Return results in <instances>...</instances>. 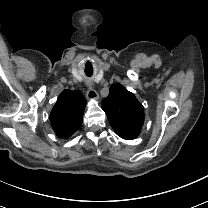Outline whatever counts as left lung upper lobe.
<instances>
[{"instance_id": "1", "label": "left lung upper lobe", "mask_w": 208, "mask_h": 208, "mask_svg": "<svg viewBox=\"0 0 208 208\" xmlns=\"http://www.w3.org/2000/svg\"><path fill=\"white\" fill-rule=\"evenodd\" d=\"M101 106L115 132L140 133L144 123V107L122 85L113 84Z\"/></svg>"}]
</instances>
